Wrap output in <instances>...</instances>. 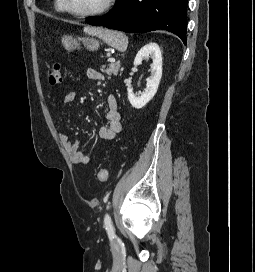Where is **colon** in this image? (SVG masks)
Segmentation results:
<instances>
[{
  "label": "colon",
  "instance_id": "colon-1",
  "mask_svg": "<svg viewBox=\"0 0 255 272\" xmlns=\"http://www.w3.org/2000/svg\"><path fill=\"white\" fill-rule=\"evenodd\" d=\"M48 82L51 86L59 85L62 83V71L61 64L54 63L52 64L49 72ZM108 179V172L106 169H100L97 172V180L99 182H106Z\"/></svg>",
  "mask_w": 255,
  "mask_h": 272
}]
</instances>
